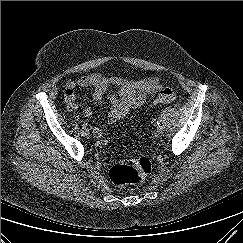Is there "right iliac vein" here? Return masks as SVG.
Listing matches in <instances>:
<instances>
[{"instance_id": "1", "label": "right iliac vein", "mask_w": 243, "mask_h": 243, "mask_svg": "<svg viewBox=\"0 0 243 243\" xmlns=\"http://www.w3.org/2000/svg\"><path fill=\"white\" fill-rule=\"evenodd\" d=\"M89 129H87V128H82V130H81V134L83 135V136H89Z\"/></svg>"}]
</instances>
